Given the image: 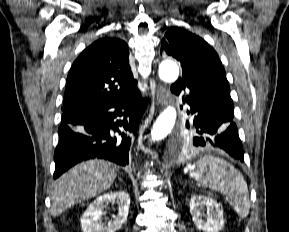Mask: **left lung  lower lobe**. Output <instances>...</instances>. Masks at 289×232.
Listing matches in <instances>:
<instances>
[{"mask_svg": "<svg viewBox=\"0 0 289 232\" xmlns=\"http://www.w3.org/2000/svg\"><path fill=\"white\" fill-rule=\"evenodd\" d=\"M189 89L183 101L190 106L188 114H195L189 140V152L217 153L243 162V149L238 136V129L233 121V103L216 94L202 89L189 88L176 82L172 92L177 95L181 90ZM196 148V151L193 149Z\"/></svg>", "mask_w": 289, "mask_h": 232, "instance_id": "obj_1", "label": "left lung lower lobe"}]
</instances>
